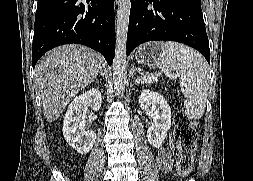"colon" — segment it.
<instances>
[{
  "instance_id": "1",
  "label": "colon",
  "mask_w": 253,
  "mask_h": 181,
  "mask_svg": "<svg viewBox=\"0 0 253 181\" xmlns=\"http://www.w3.org/2000/svg\"><path fill=\"white\" fill-rule=\"evenodd\" d=\"M174 124V139L178 148L176 169L180 176H186L193 167L198 136L190 119L183 111L175 114Z\"/></svg>"
}]
</instances>
